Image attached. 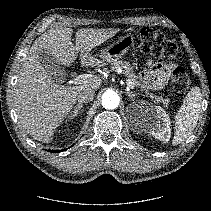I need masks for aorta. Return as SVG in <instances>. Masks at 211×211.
Listing matches in <instances>:
<instances>
[{
  "label": "aorta",
  "instance_id": "aorta-1",
  "mask_svg": "<svg viewBox=\"0 0 211 211\" xmlns=\"http://www.w3.org/2000/svg\"><path fill=\"white\" fill-rule=\"evenodd\" d=\"M120 103L118 94L114 91H107L102 95V106L105 109H115Z\"/></svg>",
  "mask_w": 211,
  "mask_h": 211
}]
</instances>
